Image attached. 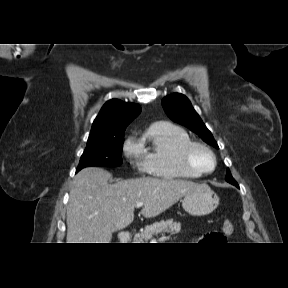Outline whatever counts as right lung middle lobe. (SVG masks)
<instances>
[{
    "label": "right lung middle lobe",
    "mask_w": 288,
    "mask_h": 288,
    "mask_svg": "<svg viewBox=\"0 0 288 288\" xmlns=\"http://www.w3.org/2000/svg\"><path fill=\"white\" fill-rule=\"evenodd\" d=\"M123 142V132L88 141L76 172L88 166H120Z\"/></svg>",
    "instance_id": "1"
}]
</instances>
